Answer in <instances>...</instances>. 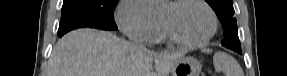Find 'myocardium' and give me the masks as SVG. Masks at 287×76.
I'll return each mask as SVG.
<instances>
[{
	"mask_svg": "<svg viewBox=\"0 0 287 76\" xmlns=\"http://www.w3.org/2000/svg\"><path fill=\"white\" fill-rule=\"evenodd\" d=\"M186 3L199 4L202 7H204L206 9V11L209 13L210 19H211V25H210V29H209L208 33L203 38H201L199 40H195V41L184 40V39L180 38L173 31V29L170 27V25L168 24V22L166 20L161 18L160 22L162 25V29L164 31L166 38L171 43H173L175 45H179V46L187 47V48L201 47V46L207 44L216 34V32L218 30V17L216 15L215 11L213 10V8L204 0H177V1L170 2V5L172 7H178V6L186 4Z\"/></svg>",
	"mask_w": 287,
	"mask_h": 76,
	"instance_id": "f54148a6",
	"label": "myocardium"
}]
</instances>
